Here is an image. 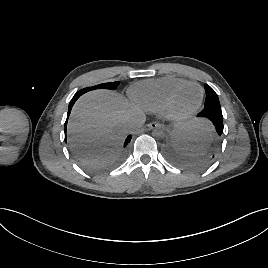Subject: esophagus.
<instances>
[{
	"label": "esophagus",
	"mask_w": 268,
	"mask_h": 268,
	"mask_svg": "<svg viewBox=\"0 0 268 268\" xmlns=\"http://www.w3.org/2000/svg\"><path fill=\"white\" fill-rule=\"evenodd\" d=\"M147 127H148L149 129H155V128L161 127V125H160L158 122L153 121V122L149 123V124L147 125Z\"/></svg>",
	"instance_id": "esophagus-1"
}]
</instances>
